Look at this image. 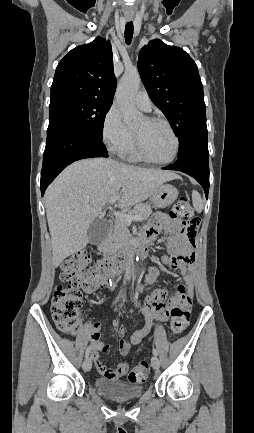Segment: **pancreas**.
Listing matches in <instances>:
<instances>
[{"instance_id": "cf45deb5", "label": "pancreas", "mask_w": 254, "mask_h": 433, "mask_svg": "<svg viewBox=\"0 0 254 433\" xmlns=\"http://www.w3.org/2000/svg\"><path fill=\"white\" fill-rule=\"evenodd\" d=\"M151 213L152 209L150 204L139 203L127 214L132 216L141 215L142 220H146ZM128 232V224L117 218L112 226V233L109 236V242L115 246L121 245L125 238H127Z\"/></svg>"}]
</instances>
